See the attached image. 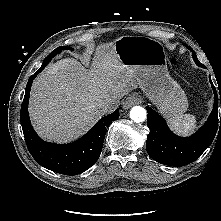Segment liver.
Masks as SVG:
<instances>
[{
  "instance_id": "liver-1",
  "label": "liver",
  "mask_w": 221,
  "mask_h": 221,
  "mask_svg": "<svg viewBox=\"0 0 221 221\" xmlns=\"http://www.w3.org/2000/svg\"><path fill=\"white\" fill-rule=\"evenodd\" d=\"M136 88L134 71L121 63L114 43L100 44L89 70L65 58L34 81L29 100L33 127L45 140L73 141L105 115L103 102H119Z\"/></svg>"
}]
</instances>
